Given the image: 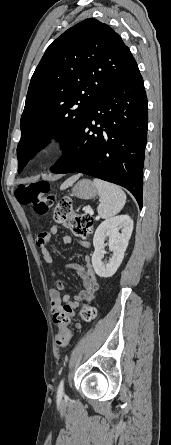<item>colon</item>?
<instances>
[{"label":"colon","instance_id":"5ec220e1","mask_svg":"<svg viewBox=\"0 0 171 445\" xmlns=\"http://www.w3.org/2000/svg\"><path fill=\"white\" fill-rule=\"evenodd\" d=\"M16 198L25 207H30L39 215L48 213L53 207V219L55 222L69 228L76 237L85 238L93 228V218L89 214L75 213L70 198L64 197L56 201V197L50 191L49 183L36 181L30 185H21L16 190ZM71 310L58 313L54 316V322L60 328L57 334V343L64 346L69 341L67 326L70 322ZM84 322L89 323L96 317V310L86 306L81 310Z\"/></svg>","mask_w":171,"mask_h":445}]
</instances>
